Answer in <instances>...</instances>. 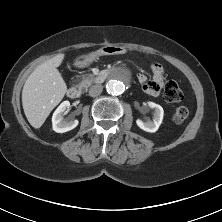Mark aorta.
I'll list each match as a JSON object with an SVG mask.
<instances>
[{
  "mask_svg": "<svg viewBox=\"0 0 222 222\" xmlns=\"http://www.w3.org/2000/svg\"><path fill=\"white\" fill-rule=\"evenodd\" d=\"M130 82V76L124 71L116 72L107 82L106 90L109 94H122Z\"/></svg>",
  "mask_w": 222,
  "mask_h": 222,
  "instance_id": "762f6f07",
  "label": "aorta"
}]
</instances>
